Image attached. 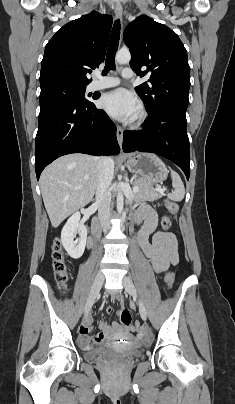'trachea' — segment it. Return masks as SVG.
<instances>
[{
    "label": "trachea",
    "instance_id": "3493384b",
    "mask_svg": "<svg viewBox=\"0 0 235 404\" xmlns=\"http://www.w3.org/2000/svg\"><path fill=\"white\" fill-rule=\"evenodd\" d=\"M120 39V21L116 20L113 25L110 43L106 54V64L103 70V75H106L109 70H115V54L118 50Z\"/></svg>",
    "mask_w": 235,
    "mask_h": 404
}]
</instances>
